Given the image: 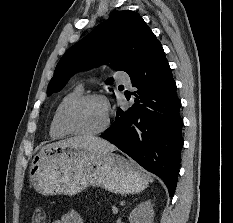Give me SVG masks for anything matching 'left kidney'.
<instances>
[{
  "mask_svg": "<svg viewBox=\"0 0 233 223\" xmlns=\"http://www.w3.org/2000/svg\"><path fill=\"white\" fill-rule=\"evenodd\" d=\"M153 199H146L140 201L135 209H132L129 215L130 223H153L154 209L152 205Z\"/></svg>",
  "mask_w": 233,
  "mask_h": 223,
  "instance_id": "left-kidney-1",
  "label": "left kidney"
}]
</instances>
